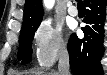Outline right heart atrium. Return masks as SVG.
<instances>
[{
    "label": "right heart atrium",
    "mask_w": 107,
    "mask_h": 75,
    "mask_svg": "<svg viewBox=\"0 0 107 75\" xmlns=\"http://www.w3.org/2000/svg\"><path fill=\"white\" fill-rule=\"evenodd\" d=\"M36 57L40 65L49 67L67 51L61 25L50 18L43 19L33 33Z\"/></svg>",
    "instance_id": "d8ad5b80"
}]
</instances>
